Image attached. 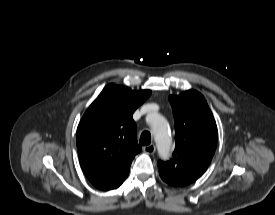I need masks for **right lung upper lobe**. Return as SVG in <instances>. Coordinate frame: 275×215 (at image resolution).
Returning a JSON list of instances; mask_svg holds the SVG:
<instances>
[{
  "label": "right lung upper lobe",
  "mask_w": 275,
  "mask_h": 215,
  "mask_svg": "<svg viewBox=\"0 0 275 215\" xmlns=\"http://www.w3.org/2000/svg\"><path fill=\"white\" fill-rule=\"evenodd\" d=\"M150 94L109 84L82 117L76 134L78 156L83 172L98 189H116L127 177L141 151L132 115Z\"/></svg>",
  "instance_id": "obj_1"
}]
</instances>
